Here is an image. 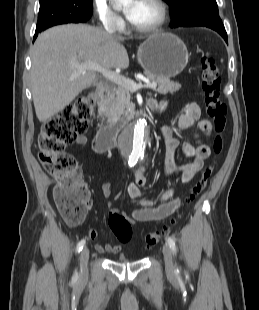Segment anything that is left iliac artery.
I'll return each instance as SVG.
<instances>
[{
	"mask_svg": "<svg viewBox=\"0 0 259 310\" xmlns=\"http://www.w3.org/2000/svg\"><path fill=\"white\" fill-rule=\"evenodd\" d=\"M167 242H168L170 248L172 249L173 253L176 255L177 248H176L175 240L171 237H168ZM175 272H178V268H175Z\"/></svg>",
	"mask_w": 259,
	"mask_h": 310,
	"instance_id": "1",
	"label": "left iliac artery"
}]
</instances>
